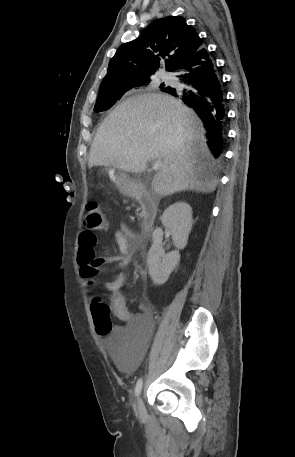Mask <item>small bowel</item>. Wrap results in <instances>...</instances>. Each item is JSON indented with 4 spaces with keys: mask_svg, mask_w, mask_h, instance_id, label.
Returning a JSON list of instances; mask_svg holds the SVG:
<instances>
[{
    "mask_svg": "<svg viewBox=\"0 0 295 457\" xmlns=\"http://www.w3.org/2000/svg\"><path fill=\"white\" fill-rule=\"evenodd\" d=\"M114 238L120 254L98 257L94 249L97 243L96 234L91 230L81 231L78 239L79 264L81 260H86L89 264L94 265L96 270L105 269L109 265H114L118 269L125 268L142 244V240L139 235L131 231L122 222L114 232ZM125 281L126 276L124 272L120 271L113 281L103 284L112 294L111 308L113 313L122 322L121 325H117L112 329L108 338H129L136 332L146 335L151 331L153 325V312L150 305L143 303L139 313H132L127 308L125 298L121 292Z\"/></svg>",
    "mask_w": 295,
    "mask_h": 457,
    "instance_id": "obj_1",
    "label": "small bowel"
}]
</instances>
